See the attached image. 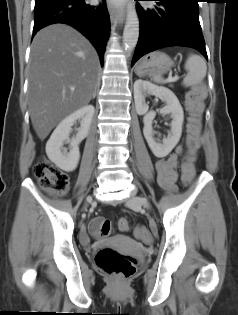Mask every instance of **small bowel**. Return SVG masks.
Instances as JSON below:
<instances>
[{
  "instance_id": "1",
  "label": "small bowel",
  "mask_w": 238,
  "mask_h": 315,
  "mask_svg": "<svg viewBox=\"0 0 238 315\" xmlns=\"http://www.w3.org/2000/svg\"><path fill=\"white\" fill-rule=\"evenodd\" d=\"M182 152V147L178 146L172 154L165 159H159L156 162L157 180L162 189L167 192H174L176 190V181L178 178L177 164L178 156ZM194 176L190 174L186 177V183L190 182ZM184 178V177H183ZM143 242H148L149 238H141Z\"/></svg>"
}]
</instances>
